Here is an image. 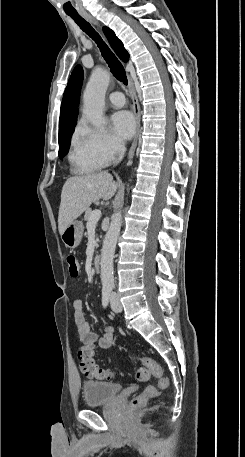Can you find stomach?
I'll list each match as a JSON object with an SVG mask.
<instances>
[{
  "label": "stomach",
  "mask_w": 245,
  "mask_h": 457,
  "mask_svg": "<svg viewBox=\"0 0 245 457\" xmlns=\"http://www.w3.org/2000/svg\"><path fill=\"white\" fill-rule=\"evenodd\" d=\"M84 226L81 220H72L61 235V239L68 249H76L81 243Z\"/></svg>",
  "instance_id": "0dacf381"
}]
</instances>
